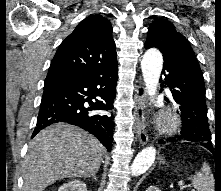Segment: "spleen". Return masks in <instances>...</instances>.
Returning a JSON list of instances; mask_svg holds the SVG:
<instances>
[{"mask_svg": "<svg viewBox=\"0 0 221 191\" xmlns=\"http://www.w3.org/2000/svg\"><path fill=\"white\" fill-rule=\"evenodd\" d=\"M193 187L197 191H214L215 181L210 167L207 163H203L202 169L197 174L189 177Z\"/></svg>", "mask_w": 221, "mask_h": 191, "instance_id": "obj_1", "label": "spleen"}]
</instances>
